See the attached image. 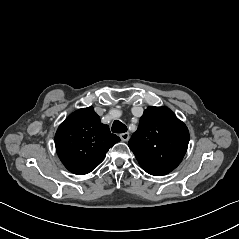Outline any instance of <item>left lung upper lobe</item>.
I'll use <instances>...</instances> for the list:
<instances>
[{
	"label": "left lung upper lobe",
	"mask_w": 239,
	"mask_h": 239,
	"mask_svg": "<svg viewBox=\"0 0 239 239\" xmlns=\"http://www.w3.org/2000/svg\"><path fill=\"white\" fill-rule=\"evenodd\" d=\"M188 143L186 125L170 109L150 106L140 118L128 146L146 172L160 176L180 164Z\"/></svg>",
	"instance_id": "left-lung-upper-lobe-1"
}]
</instances>
